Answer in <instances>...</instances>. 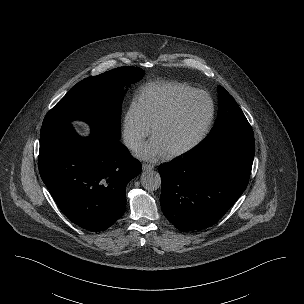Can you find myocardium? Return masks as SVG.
I'll use <instances>...</instances> for the list:
<instances>
[{"label": "myocardium", "mask_w": 304, "mask_h": 304, "mask_svg": "<svg viewBox=\"0 0 304 304\" xmlns=\"http://www.w3.org/2000/svg\"><path fill=\"white\" fill-rule=\"evenodd\" d=\"M197 97H202L204 99L207 100L208 105H209V112L207 115V118L205 120V123L203 125V127L201 128L200 132L198 133V135L186 146L169 152L168 156L170 158H177V157H181L184 156L188 153H190L191 151H193L196 147H198L202 141L206 138L207 134L209 133L213 120H214V115H215V106H214V102L212 100V98L204 91L201 90H195L191 93H188L186 95H184L183 97H181L180 99H178L167 111H165L161 116H159L155 122L152 125V135L154 136L157 129L166 121H168L169 119H171L181 108L182 106L187 103L188 101H190L191 99L197 98Z\"/></svg>", "instance_id": "f54148a6"}]
</instances>
